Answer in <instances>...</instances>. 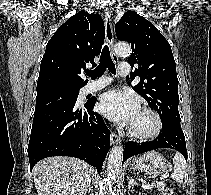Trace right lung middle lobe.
Segmentation results:
<instances>
[{
    "label": "right lung middle lobe",
    "mask_w": 211,
    "mask_h": 195,
    "mask_svg": "<svg viewBox=\"0 0 211 195\" xmlns=\"http://www.w3.org/2000/svg\"><path fill=\"white\" fill-rule=\"evenodd\" d=\"M80 88L77 89H73V93H77L79 92ZM61 89H57V90H50V91H46V92H42V93H38L36 99H40V98H44V97H48L51 96L55 93H57L58 91H60Z\"/></svg>",
    "instance_id": "dd1d6c3e"
}]
</instances>
